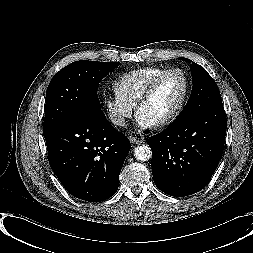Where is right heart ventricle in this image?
Returning a JSON list of instances; mask_svg holds the SVG:
<instances>
[{
  "mask_svg": "<svg viewBox=\"0 0 253 253\" xmlns=\"http://www.w3.org/2000/svg\"><path fill=\"white\" fill-rule=\"evenodd\" d=\"M167 69L143 67L126 72L116 79L113 85L114 92L127 103L135 106L149 83Z\"/></svg>",
  "mask_w": 253,
  "mask_h": 253,
  "instance_id": "right-heart-ventricle-1",
  "label": "right heart ventricle"
}]
</instances>
